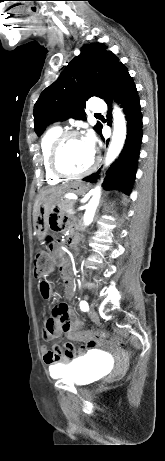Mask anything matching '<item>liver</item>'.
I'll return each mask as SVG.
<instances>
[{"instance_id": "liver-1", "label": "liver", "mask_w": 165, "mask_h": 461, "mask_svg": "<svg viewBox=\"0 0 165 461\" xmlns=\"http://www.w3.org/2000/svg\"><path fill=\"white\" fill-rule=\"evenodd\" d=\"M65 188L66 187H52V188L40 191V193L38 194V196H37V198L35 200L34 207H33V221H34V224L36 223V219H37V216H38L41 200L45 196H47L49 194H62V192H63V190Z\"/></svg>"}]
</instances>
